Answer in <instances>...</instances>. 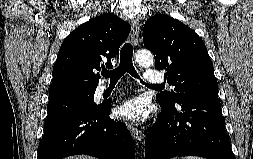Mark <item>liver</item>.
<instances>
[{
    "label": "liver",
    "instance_id": "liver-1",
    "mask_svg": "<svg viewBox=\"0 0 253 159\" xmlns=\"http://www.w3.org/2000/svg\"><path fill=\"white\" fill-rule=\"evenodd\" d=\"M66 159H96V158L91 156L79 155V156H70Z\"/></svg>",
    "mask_w": 253,
    "mask_h": 159
}]
</instances>
